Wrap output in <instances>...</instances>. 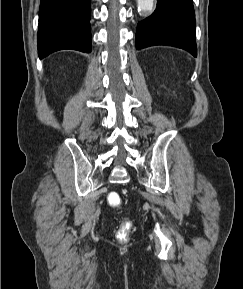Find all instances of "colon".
<instances>
[{
    "label": "colon",
    "instance_id": "1",
    "mask_svg": "<svg viewBox=\"0 0 243 289\" xmlns=\"http://www.w3.org/2000/svg\"><path fill=\"white\" fill-rule=\"evenodd\" d=\"M107 201H108V204L113 208H118L122 202L121 197L117 192L109 193L107 197ZM130 229H131V223L128 221L123 222L117 232V238L122 242L127 241L129 238Z\"/></svg>",
    "mask_w": 243,
    "mask_h": 289
}]
</instances>
